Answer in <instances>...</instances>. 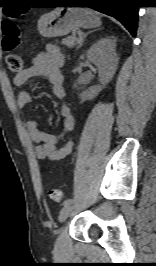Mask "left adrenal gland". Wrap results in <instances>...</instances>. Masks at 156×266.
Segmentation results:
<instances>
[{
    "instance_id": "obj_1",
    "label": "left adrenal gland",
    "mask_w": 156,
    "mask_h": 266,
    "mask_svg": "<svg viewBox=\"0 0 156 266\" xmlns=\"http://www.w3.org/2000/svg\"><path fill=\"white\" fill-rule=\"evenodd\" d=\"M91 32H92V31L87 32L86 34H84V35L80 38L78 48L81 47V45H82L83 42H84V39H85V38L87 37V35L90 34Z\"/></svg>"
}]
</instances>
